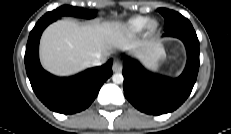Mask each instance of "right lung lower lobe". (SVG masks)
I'll use <instances>...</instances> for the list:
<instances>
[{
    "mask_svg": "<svg viewBox=\"0 0 231 134\" xmlns=\"http://www.w3.org/2000/svg\"><path fill=\"white\" fill-rule=\"evenodd\" d=\"M54 19H40L29 34L25 67L36 96L50 110L73 114L86 109L96 98L102 84L112 75V60L71 77H56L39 62V40Z\"/></svg>",
    "mask_w": 231,
    "mask_h": 134,
    "instance_id": "obj_1",
    "label": "right lung lower lobe"
}]
</instances>
